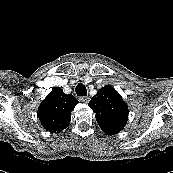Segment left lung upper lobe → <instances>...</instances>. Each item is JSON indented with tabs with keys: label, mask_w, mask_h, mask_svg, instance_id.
I'll return each mask as SVG.
<instances>
[{
	"label": "left lung upper lobe",
	"mask_w": 173,
	"mask_h": 173,
	"mask_svg": "<svg viewBox=\"0 0 173 173\" xmlns=\"http://www.w3.org/2000/svg\"><path fill=\"white\" fill-rule=\"evenodd\" d=\"M88 105L96 114L97 123L106 134H117L126 125L128 107L111 85L101 88Z\"/></svg>",
	"instance_id": "left-lung-upper-lobe-1"
}]
</instances>
